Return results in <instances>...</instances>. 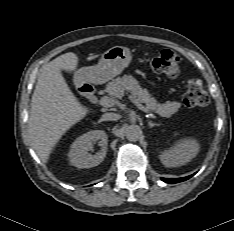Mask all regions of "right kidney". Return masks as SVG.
Wrapping results in <instances>:
<instances>
[{"mask_svg":"<svg viewBox=\"0 0 234 231\" xmlns=\"http://www.w3.org/2000/svg\"><path fill=\"white\" fill-rule=\"evenodd\" d=\"M108 137L102 130H93L78 137L71 145L69 158L73 166L78 168H91L99 165L107 151ZM101 147V150L95 155L88 153L95 143Z\"/></svg>","mask_w":234,"mask_h":231,"instance_id":"ca27d5eb","label":"right kidney"}]
</instances>
